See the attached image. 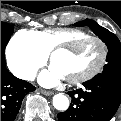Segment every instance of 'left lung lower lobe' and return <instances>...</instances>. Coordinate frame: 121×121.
Segmentation results:
<instances>
[{
  "mask_svg": "<svg viewBox=\"0 0 121 121\" xmlns=\"http://www.w3.org/2000/svg\"><path fill=\"white\" fill-rule=\"evenodd\" d=\"M85 89L70 91L69 109L59 113V121H109L121 101V80L97 76L83 83Z\"/></svg>",
  "mask_w": 121,
  "mask_h": 121,
  "instance_id": "obj_1",
  "label": "left lung lower lobe"
}]
</instances>
